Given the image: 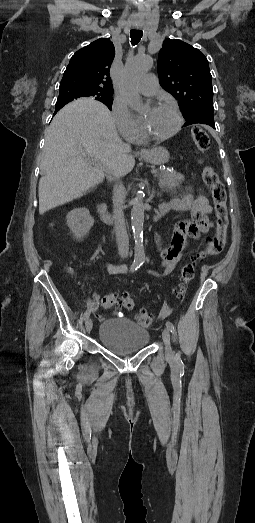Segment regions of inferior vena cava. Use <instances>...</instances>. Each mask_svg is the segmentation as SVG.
<instances>
[{
	"label": "inferior vena cava",
	"instance_id": "obj_1",
	"mask_svg": "<svg viewBox=\"0 0 255 523\" xmlns=\"http://www.w3.org/2000/svg\"><path fill=\"white\" fill-rule=\"evenodd\" d=\"M123 158H128L127 154H123ZM113 176L117 180V184H115L113 188V222L117 240V248L119 254H128V234L125 226V218L123 212L124 208L120 202L124 194V186L122 182H120V178H122L124 174L123 172H113Z\"/></svg>",
	"mask_w": 255,
	"mask_h": 523
}]
</instances>
